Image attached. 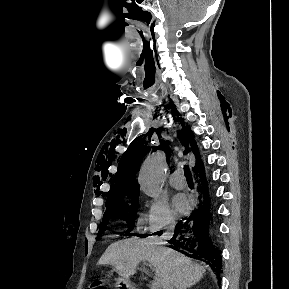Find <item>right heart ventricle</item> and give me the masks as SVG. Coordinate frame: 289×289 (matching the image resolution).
<instances>
[{
  "mask_svg": "<svg viewBox=\"0 0 289 289\" xmlns=\"http://www.w3.org/2000/svg\"><path fill=\"white\" fill-rule=\"evenodd\" d=\"M142 223H143V217L140 216V217L138 218V225H141Z\"/></svg>",
  "mask_w": 289,
  "mask_h": 289,
  "instance_id": "obj_1",
  "label": "right heart ventricle"
}]
</instances>
